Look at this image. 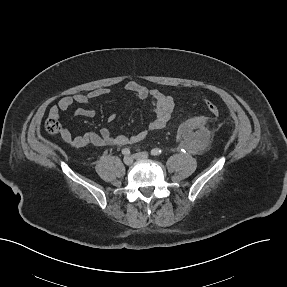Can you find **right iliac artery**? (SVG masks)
Returning <instances> with one entry per match:
<instances>
[{"instance_id": "82829eb1", "label": "right iliac artery", "mask_w": 287, "mask_h": 287, "mask_svg": "<svg viewBox=\"0 0 287 287\" xmlns=\"http://www.w3.org/2000/svg\"><path fill=\"white\" fill-rule=\"evenodd\" d=\"M131 152H130V149H128V148H124L123 150H122V154L123 155H129Z\"/></svg>"}]
</instances>
